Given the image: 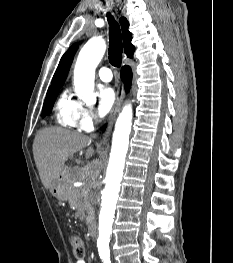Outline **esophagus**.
<instances>
[{"mask_svg": "<svg viewBox=\"0 0 233 263\" xmlns=\"http://www.w3.org/2000/svg\"><path fill=\"white\" fill-rule=\"evenodd\" d=\"M123 98H124V85L122 82H120L118 89H117V93H116V102H115V105H114L113 109L111 110L110 115L108 117L107 129H106V132L103 136L101 144H104L107 141L108 137L110 136L114 121H115L116 116L120 110Z\"/></svg>", "mask_w": 233, "mask_h": 263, "instance_id": "34e87169", "label": "esophagus"}]
</instances>
